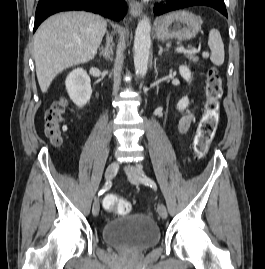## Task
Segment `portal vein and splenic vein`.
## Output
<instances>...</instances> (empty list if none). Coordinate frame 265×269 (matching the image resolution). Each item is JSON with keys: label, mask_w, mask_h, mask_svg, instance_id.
Returning <instances> with one entry per match:
<instances>
[{"label": "portal vein and splenic vein", "mask_w": 265, "mask_h": 269, "mask_svg": "<svg viewBox=\"0 0 265 269\" xmlns=\"http://www.w3.org/2000/svg\"><path fill=\"white\" fill-rule=\"evenodd\" d=\"M176 51L178 53H182V52H184V53H194V52H196V49H186L185 47L181 46V47L176 48Z\"/></svg>", "instance_id": "1"}]
</instances>
